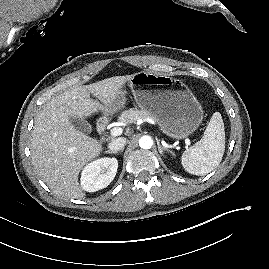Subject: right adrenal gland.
<instances>
[{"instance_id": "1", "label": "right adrenal gland", "mask_w": 269, "mask_h": 269, "mask_svg": "<svg viewBox=\"0 0 269 269\" xmlns=\"http://www.w3.org/2000/svg\"><path fill=\"white\" fill-rule=\"evenodd\" d=\"M106 153H109V154H110V153H111V154H117V153H119V152H118V151H110V150H107Z\"/></svg>"}]
</instances>
